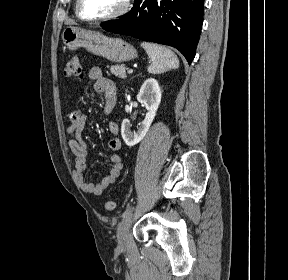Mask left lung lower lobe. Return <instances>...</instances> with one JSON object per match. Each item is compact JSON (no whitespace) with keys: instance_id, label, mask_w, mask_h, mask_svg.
<instances>
[{"instance_id":"0a47b994","label":"left lung lower lobe","mask_w":288,"mask_h":280,"mask_svg":"<svg viewBox=\"0 0 288 280\" xmlns=\"http://www.w3.org/2000/svg\"><path fill=\"white\" fill-rule=\"evenodd\" d=\"M203 8L204 0H136L126 15L101 27L172 46L191 63L201 33Z\"/></svg>"}]
</instances>
